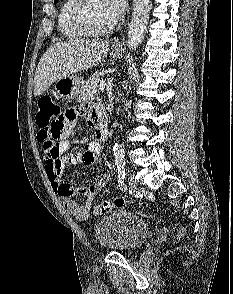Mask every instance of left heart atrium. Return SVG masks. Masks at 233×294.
I'll use <instances>...</instances> for the list:
<instances>
[{"instance_id":"left-heart-atrium-1","label":"left heart atrium","mask_w":233,"mask_h":294,"mask_svg":"<svg viewBox=\"0 0 233 294\" xmlns=\"http://www.w3.org/2000/svg\"><path fill=\"white\" fill-rule=\"evenodd\" d=\"M105 2L116 18H119L127 7V0H105Z\"/></svg>"}]
</instances>
